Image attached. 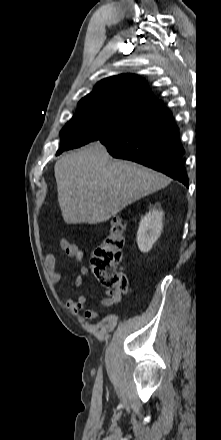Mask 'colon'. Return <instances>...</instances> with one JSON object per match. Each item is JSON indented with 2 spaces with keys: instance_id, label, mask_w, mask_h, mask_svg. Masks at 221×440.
<instances>
[{
  "instance_id": "colon-1",
  "label": "colon",
  "mask_w": 221,
  "mask_h": 440,
  "mask_svg": "<svg viewBox=\"0 0 221 440\" xmlns=\"http://www.w3.org/2000/svg\"><path fill=\"white\" fill-rule=\"evenodd\" d=\"M124 248V226L119 220L111 223L103 241L96 246L91 265L97 281L117 294L127 290L126 276L117 267L122 260Z\"/></svg>"
}]
</instances>
